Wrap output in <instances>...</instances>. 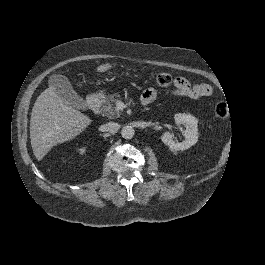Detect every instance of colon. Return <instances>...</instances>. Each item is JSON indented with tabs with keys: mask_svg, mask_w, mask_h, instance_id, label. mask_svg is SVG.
<instances>
[{
	"mask_svg": "<svg viewBox=\"0 0 265 265\" xmlns=\"http://www.w3.org/2000/svg\"><path fill=\"white\" fill-rule=\"evenodd\" d=\"M156 80L160 86H168L171 83L172 78L168 73L162 72L157 75ZM213 111L218 117H226L229 113V107L224 102H218L214 105Z\"/></svg>",
	"mask_w": 265,
	"mask_h": 265,
	"instance_id": "obj_1",
	"label": "colon"
}]
</instances>
